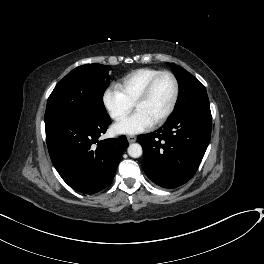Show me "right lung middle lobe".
<instances>
[{
  "instance_id": "right-lung-middle-lobe-1",
  "label": "right lung middle lobe",
  "mask_w": 264,
  "mask_h": 264,
  "mask_svg": "<svg viewBox=\"0 0 264 264\" xmlns=\"http://www.w3.org/2000/svg\"><path fill=\"white\" fill-rule=\"evenodd\" d=\"M109 70V65L92 63L68 73L48 98L45 123L64 118L108 115L103 94L110 83Z\"/></svg>"
}]
</instances>
